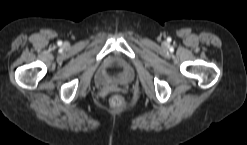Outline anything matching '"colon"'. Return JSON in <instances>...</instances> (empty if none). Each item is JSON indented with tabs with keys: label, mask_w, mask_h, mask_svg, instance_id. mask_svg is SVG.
<instances>
[{
	"label": "colon",
	"mask_w": 247,
	"mask_h": 145,
	"mask_svg": "<svg viewBox=\"0 0 247 145\" xmlns=\"http://www.w3.org/2000/svg\"><path fill=\"white\" fill-rule=\"evenodd\" d=\"M110 104L115 108H119L123 106L124 100L120 96H114L111 98Z\"/></svg>",
	"instance_id": "obj_1"
}]
</instances>
